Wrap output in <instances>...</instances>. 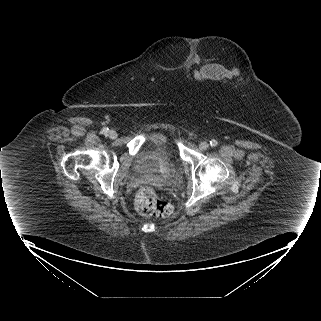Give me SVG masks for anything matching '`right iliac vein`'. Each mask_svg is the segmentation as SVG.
I'll return each mask as SVG.
<instances>
[{
    "instance_id": "1",
    "label": "right iliac vein",
    "mask_w": 321,
    "mask_h": 321,
    "mask_svg": "<svg viewBox=\"0 0 321 321\" xmlns=\"http://www.w3.org/2000/svg\"><path fill=\"white\" fill-rule=\"evenodd\" d=\"M108 135H109V137L112 138V139L117 138V132H116L115 130H110V131L108 132Z\"/></svg>"
}]
</instances>
